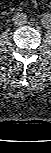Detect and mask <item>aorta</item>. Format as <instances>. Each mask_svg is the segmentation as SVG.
Returning <instances> with one entry per match:
<instances>
[{"label":"aorta","mask_w":51,"mask_h":153,"mask_svg":"<svg viewBox=\"0 0 51 153\" xmlns=\"http://www.w3.org/2000/svg\"><path fill=\"white\" fill-rule=\"evenodd\" d=\"M41 21H42L44 28L46 29L51 28V17L44 15L42 16Z\"/></svg>","instance_id":"aorta-1"}]
</instances>
